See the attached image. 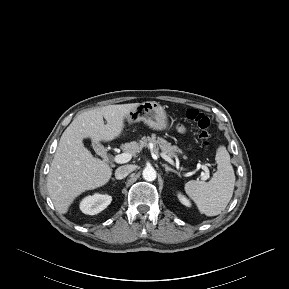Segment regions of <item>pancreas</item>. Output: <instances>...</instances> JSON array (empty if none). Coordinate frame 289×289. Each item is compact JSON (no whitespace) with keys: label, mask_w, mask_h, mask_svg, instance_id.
I'll return each instance as SVG.
<instances>
[{"label":"pancreas","mask_w":289,"mask_h":289,"mask_svg":"<svg viewBox=\"0 0 289 289\" xmlns=\"http://www.w3.org/2000/svg\"><path fill=\"white\" fill-rule=\"evenodd\" d=\"M150 144L153 145V150L156 154L164 153L169 157H175L177 153H181V150L178 149L177 146H172L169 142L164 140L161 137H156V135L152 134L151 136H143L138 141H132L130 143H126L122 145V150L131 155H136L139 153L144 147H148Z\"/></svg>","instance_id":"pancreas-1"}]
</instances>
